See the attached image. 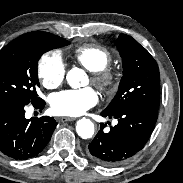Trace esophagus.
I'll return each mask as SVG.
<instances>
[{
    "label": "esophagus",
    "instance_id": "esophagus-1",
    "mask_svg": "<svg viewBox=\"0 0 183 183\" xmlns=\"http://www.w3.org/2000/svg\"><path fill=\"white\" fill-rule=\"evenodd\" d=\"M59 120H60L61 122H68V121H73V120H75V119L72 118V117H60Z\"/></svg>",
    "mask_w": 183,
    "mask_h": 183
}]
</instances>
